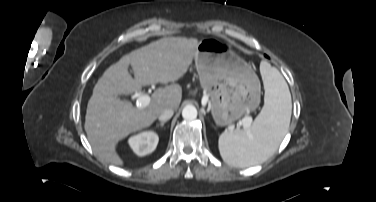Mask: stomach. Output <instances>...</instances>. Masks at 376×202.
I'll use <instances>...</instances> for the list:
<instances>
[{"instance_id":"1","label":"stomach","mask_w":376,"mask_h":202,"mask_svg":"<svg viewBox=\"0 0 376 202\" xmlns=\"http://www.w3.org/2000/svg\"><path fill=\"white\" fill-rule=\"evenodd\" d=\"M200 85L209 94L217 125L239 119L260 102V82L251 66L215 38L202 39L194 54Z\"/></svg>"}]
</instances>
